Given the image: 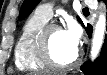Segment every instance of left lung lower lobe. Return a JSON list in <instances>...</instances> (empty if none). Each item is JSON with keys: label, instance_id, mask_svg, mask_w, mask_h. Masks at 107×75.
<instances>
[{"label": "left lung lower lobe", "instance_id": "obj_1", "mask_svg": "<svg viewBox=\"0 0 107 75\" xmlns=\"http://www.w3.org/2000/svg\"><path fill=\"white\" fill-rule=\"evenodd\" d=\"M105 2L107 4V1ZM86 32L91 35V25L88 24ZM81 70L85 75H107V36L100 57L94 63L86 62L81 66Z\"/></svg>", "mask_w": 107, "mask_h": 75}]
</instances>
